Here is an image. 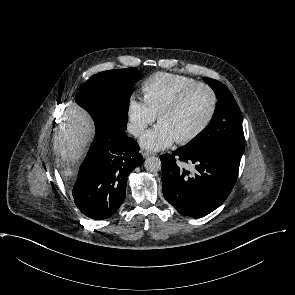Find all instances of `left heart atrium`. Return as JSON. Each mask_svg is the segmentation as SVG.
Here are the masks:
<instances>
[{
	"label": "left heart atrium",
	"instance_id": "obj_1",
	"mask_svg": "<svg viewBox=\"0 0 295 295\" xmlns=\"http://www.w3.org/2000/svg\"><path fill=\"white\" fill-rule=\"evenodd\" d=\"M178 139L173 131L164 124L146 132L140 139L141 145L149 150H162L171 146Z\"/></svg>",
	"mask_w": 295,
	"mask_h": 295
}]
</instances>
